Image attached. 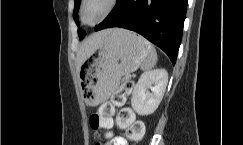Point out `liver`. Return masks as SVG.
I'll return each mask as SVG.
<instances>
[{"label":"liver","instance_id":"6515ba94","mask_svg":"<svg viewBox=\"0 0 243 145\" xmlns=\"http://www.w3.org/2000/svg\"><path fill=\"white\" fill-rule=\"evenodd\" d=\"M110 30H103L90 35L86 38L79 47L76 57L77 69L79 70L82 63L91 56L94 51L101 45L104 38L108 35Z\"/></svg>","mask_w":243,"mask_h":145}]
</instances>
